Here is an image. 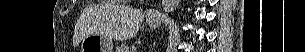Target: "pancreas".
<instances>
[{
  "instance_id": "obj_1",
  "label": "pancreas",
  "mask_w": 305,
  "mask_h": 52,
  "mask_svg": "<svg viewBox=\"0 0 305 52\" xmlns=\"http://www.w3.org/2000/svg\"><path fill=\"white\" fill-rule=\"evenodd\" d=\"M118 52H128L127 47H120Z\"/></svg>"
}]
</instances>
